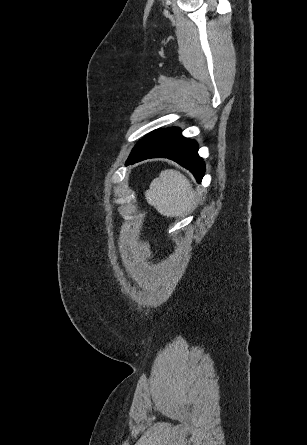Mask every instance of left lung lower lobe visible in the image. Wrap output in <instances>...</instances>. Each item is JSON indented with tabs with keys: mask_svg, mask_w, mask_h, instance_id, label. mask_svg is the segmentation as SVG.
<instances>
[{
	"mask_svg": "<svg viewBox=\"0 0 307 445\" xmlns=\"http://www.w3.org/2000/svg\"><path fill=\"white\" fill-rule=\"evenodd\" d=\"M198 145L194 140L181 135V130L170 127L150 137L127 160L126 165L148 158H169L190 170L198 183L205 173V164L198 156Z\"/></svg>",
	"mask_w": 307,
	"mask_h": 445,
	"instance_id": "1",
	"label": "left lung lower lobe"
}]
</instances>
